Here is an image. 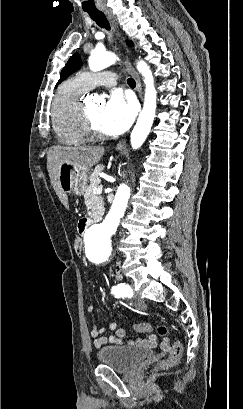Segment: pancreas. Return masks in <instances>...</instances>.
I'll return each mask as SVG.
<instances>
[{
    "label": "pancreas",
    "mask_w": 243,
    "mask_h": 409,
    "mask_svg": "<svg viewBox=\"0 0 243 409\" xmlns=\"http://www.w3.org/2000/svg\"><path fill=\"white\" fill-rule=\"evenodd\" d=\"M103 169V165H99L95 168L89 177L90 183L84 194L85 204L90 209V217L95 220L101 218L105 210L103 198L100 195L93 193L94 188L98 187L100 184L99 173Z\"/></svg>",
    "instance_id": "1"
}]
</instances>
